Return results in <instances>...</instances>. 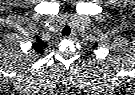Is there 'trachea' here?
<instances>
[{
    "mask_svg": "<svg viewBox=\"0 0 135 95\" xmlns=\"http://www.w3.org/2000/svg\"><path fill=\"white\" fill-rule=\"evenodd\" d=\"M71 33V28L69 26H65L62 30L63 36H68Z\"/></svg>",
    "mask_w": 135,
    "mask_h": 95,
    "instance_id": "trachea-1",
    "label": "trachea"
}]
</instances>
